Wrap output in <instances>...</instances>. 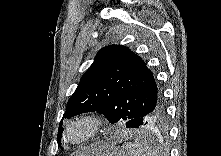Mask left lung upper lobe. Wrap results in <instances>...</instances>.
<instances>
[{
    "mask_svg": "<svg viewBox=\"0 0 221 156\" xmlns=\"http://www.w3.org/2000/svg\"><path fill=\"white\" fill-rule=\"evenodd\" d=\"M153 74L145 62L122 45H109L97 53L70 97L63 118L97 111L110 123L127 122L161 100Z\"/></svg>",
    "mask_w": 221,
    "mask_h": 156,
    "instance_id": "left-lung-upper-lobe-1",
    "label": "left lung upper lobe"
}]
</instances>
